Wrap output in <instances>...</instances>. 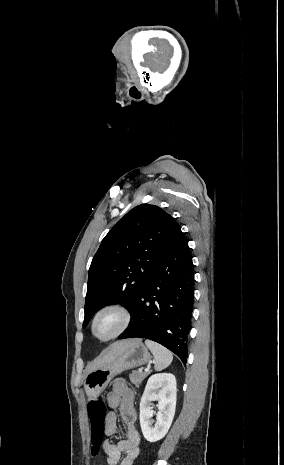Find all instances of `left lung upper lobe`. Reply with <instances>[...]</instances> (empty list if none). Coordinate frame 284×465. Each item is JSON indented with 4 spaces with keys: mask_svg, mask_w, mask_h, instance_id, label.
I'll return each mask as SVG.
<instances>
[{
    "mask_svg": "<svg viewBox=\"0 0 284 465\" xmlns=\"http://www.w3.org/2000/svg\"><path fill=\"white\" fill-rule=\"evenodd\" d=\"M180 227L155 205L141 204L117 222L93 257L85 300V327L112 302L133 305L141 287L174 246Z\"/></svg>",
    "mask_w": 284,
    "mask_h": 465,
    "instance_id": "1",
    "label": "left lung upper lobe"
}]
</instances>
